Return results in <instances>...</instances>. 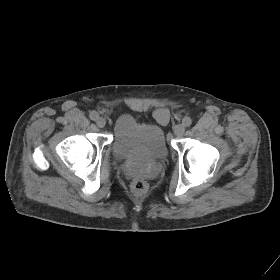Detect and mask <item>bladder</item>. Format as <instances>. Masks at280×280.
<instances>
[{"label":"bladder","instance_id":"31cf9c89","mask_svg":"<svg viewBox=\"0 0 280 280\" xmlns=\"http://www.w3.org/2000/svg\"><path fill=\"white\" fill-rule=\"evenodd\" d=\"M111 147L120 160L162 161L169 153L162 127L139 122L130 114L115 120Z\"/></svg>","mask_w":280,"mask_h":280}]
</instances>
